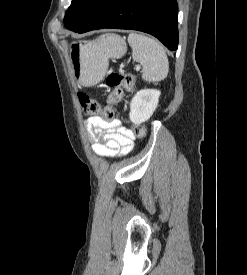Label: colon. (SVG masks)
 I'll list each match as a JSON object with an SVG mask.
<instances>
[{
	"label": "colon",
	"instance_id": "5ec220e1",
	"mask_svg": "<svg viewBox=\"0 0 247 275\" xmlns=\"http://www.w3.org/2000/svg\"><path fill=\"white\" fill-rule=\"evenodd\" d=\"M106 85L111 88L107 97V105L102 107L100 103L84 93L78 95L83 113L85 115L101 114L105 119L113 117V107L120 102L123 89L132 90L135 85V77L127 72H111L106 78ZM133 134L139 138L147 135L146 129L138 124L132 126Z\"/></svg>",
	"mask_w": 247,
	"mask_h": 275
}]
</instances>
